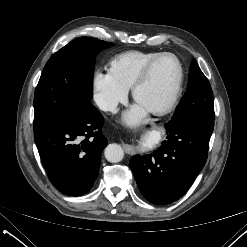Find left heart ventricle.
Wrapping results in <instances>:
<instances>
[{"instance_id":"obj_1","label":"left heart ventricle","mask_w":247,"mask_h":247,"mask_svg":"<svg viewBox=\"0 0 247 247\" xmlns=\"http://www.w3.org/2000/svg\"><path fill=\"white\" fill-rule=\"evenodd\" d=\"M178 77V66L172 57L160 59L137 92V103L145 109L163 105L171 96Z\"/></svg>"}]
</instances>
